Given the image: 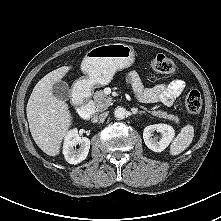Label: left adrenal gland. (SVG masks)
<instances>
[{
	"instance_id": "a2214340",
	"label": "left adrenal gland",
	"mask_w": 221,
	"mask_h": 221,
	"mask_svg": "<svg viewBox=\"0 0 221 221\" xmlns=\"http://www.w3.org/2000/svg\"><path fill=\"white\" fill-rule=\"evenodd\" d=\"M138 113H139V114H145V112H143V111H139Z\"/></svg>"
}]
</instances>
